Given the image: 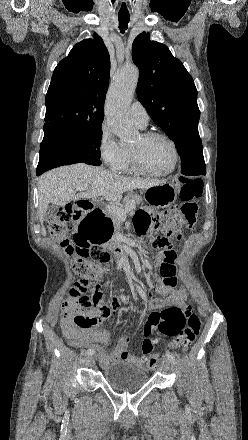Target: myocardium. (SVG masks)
I'll use <instances>...</instances> for the list:
<instances>
[{
  "label": "myocardium",
  "instance_id": "1",
  "mask_svg": "<svg viewBox=\"0 0 248 440\" xmlns=\"http://www.w3.org/2000/svg\"><path fill=\"white\" fill-rule=\"evenodd\" d=\"M143 141H149L154 138H162L166 140L173 150V162L171 167L163 172H153L146 168L143 163L141 151L138 148L131 147L132 163L136 172L149 176V177H165L172 174L179 162V151L176 142L167 134L159 131H146L141 135Z\"/></svg>",
  "mask_w": 248,
  "mask_h": 440
}]
</instances>
